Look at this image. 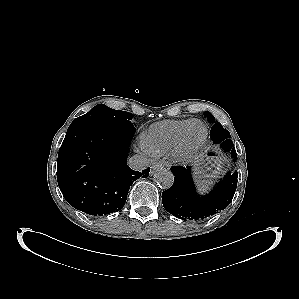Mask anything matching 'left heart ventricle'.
<instances>
[{"instance_id": "left-heart-ventricle-1", "label": "left heart ventricle", "mask_w": 299, "mask_h": 299, "mask_svg": "<svg viewBox=\"0 0 299 299\" xmlns=\"http://www.w3.org/2000/svg\"><path fill=\"white\" fill-rule=\"evenodd\" d=\"M204 134L203 126L199 123L192 124L186 134L185 145L186 148L192 149L197 146L202 140Z\"/></svg>"}]
</instances>
